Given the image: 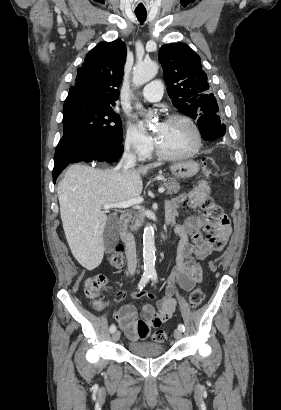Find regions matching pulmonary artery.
Here are the masks:
<instances>
[{
    "label": "pulmonary artery",
    "instance_id": "1",
    "mask_svg": "<svg viewBox=\"0 0 281 410\" xmlns=\"http://www.w3.org/2000/svg\"><path fill=\"white\" fill-rule=\"evenodd\" d=\"M163 95V84L160 80L148 83L141 92V97L148 102H158Z\"/></svg>",
    "mask_w": 281,
    "mask_h": 410
}]
</instances>
